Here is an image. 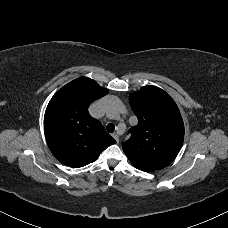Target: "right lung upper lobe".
Listing matches in <instances>:
<instances>
[{
	"mask_svg": "<svg viewBox=\"0 0 228 228\" xmlns=\"http://www.w3.org/2000/svg\"><path fill=\"white\" fill-rule=\"evenodd\" d=\"M107 93L94 80L81 77L66 84L50 100L44 131L51 152L61 163L74 168L85 166L116 143L88 113L89 105Z\"/></svg>",
	"mask_w": 228,
	"mask_h": 228,
	"instance_id": "1",
	"label": "right lung upper lobe"
}]
</instances>
